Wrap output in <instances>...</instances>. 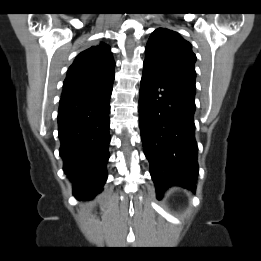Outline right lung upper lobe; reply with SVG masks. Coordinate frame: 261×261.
Returning <instances> with one entry per match:
<instances>
[{
  "instance_id": "cb5924a9",
  "label": "right lung upper lobe",
  "mask_w": 261,
  "mask_h": 261,
  "mask_svg": "<svg viewBox=\"0 0 261 261\" xmlns=\"http://www.w3.org/2000/svg\"><path fill=\"white\" fill-rule=\"evenodd\" d=\"M114 66L110 48L103 43L81 52L68 69L62 96L111 85L114 80Z\"/></svg>"
}]
</instances>
